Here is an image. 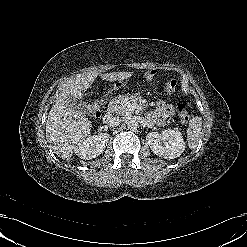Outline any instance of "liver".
<instances>
[{"label": "liver", "mask_w": 247, "mask_h": 247, "mask_svg": "<svg viewBox=\"0 0 247 247\" xmlns=\"http://www.w3.org/2000/svg\"><path fill=\"white\" fill-rule=\"evenodd\" d=\"M98 75L102 80L114 82L131 77L133 72L102 74L91 71L72 76L61 85L59 96L46 121V137L53 144L55 153L66 160L72 157L75 145L83 141L91 130V121L85 113L69 104L68 97L72 95L81 99L83 92L93 84Z\"/></svg>", "instance_id": "6515ba94"}]
</instances>
